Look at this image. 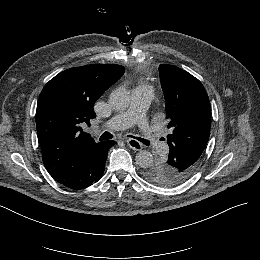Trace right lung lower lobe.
Masks as SVG:
<instances>
[{"instance_id": "obj_1", "label": "right lung lower lobe", "mask_w": 260, "mask_h": 260, "mask_svg": "<svg viewBox=\"0 0 260 260\" xmlns=\"http://www.w3.org/2000/svg\"><path fill=\"white\" fill-rule=\"evenodd\" d=\"M114 144V141L98 144L93 152L52 177L58 183L70 189H82L96 183L103 175L108 150Z\"/></svg>"}]
</instances>
